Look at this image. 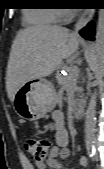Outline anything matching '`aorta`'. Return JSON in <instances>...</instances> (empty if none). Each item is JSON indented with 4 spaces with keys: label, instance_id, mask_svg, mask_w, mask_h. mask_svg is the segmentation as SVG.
<instances>
[{
    "label": "aorta",
    "instance_id": "aorta-1",
    "mask_svg": "<svg viewBox=\"0 0 104 169\" xmlns=\"http://www.w3.org/2000/svg\"><path fill=\"white\" fill-rule=\"evenodd\" d=\"M103 58H104V34L103 30L98 31L95 44V80L94 86L98 87L103 81ZM97 89L91 94L87 110L85 113V138L88 141H93L95 139V130H96V106H97Z\"/></svg>",
    "mask_w": 104,
    "mask_h": 169
}]
</instances>
